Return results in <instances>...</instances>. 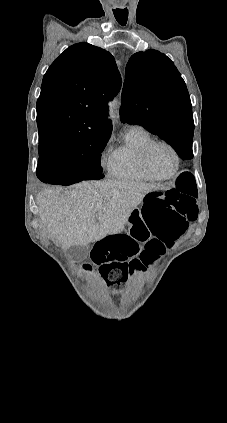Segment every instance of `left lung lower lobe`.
I'll list each match as a JSON object with an SVG mask.
<instances>
[{
    "mask_svg": "<svg viewBox=\"0 0 227 423\" xmlns=\"http://www.w3.org/2000/svg\"><path fill=\"white\" fill-rule=\"evenodd\" d=\"M177 154L184 160L192 159V142L179 140L171 145Z\"/></svg>",
    "mask_w": 227,
    "mask_h": 423,
    "instance_id": "obj_1",
    "label": "left lung lower lobe"
}]
</instances>
